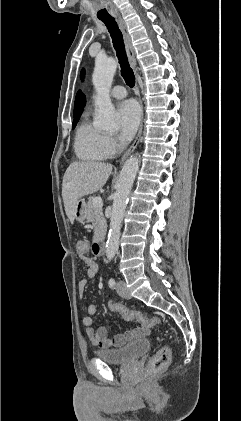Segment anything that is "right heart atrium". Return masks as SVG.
Wrapping results in <instances>:
<instances>
[{"label":"right heart atrium","instance_id":"1","mask_svg":"<svg viewBox=\"0 0 241 421\" xmlns=\"http://www.w3.org/2000/svg\"><path fill=\"white\" fill-rule=\"evenodd\" d=\"M104 143L110 155L114 154L119 148V142L113 135L106 134L104 136Z\"/></svg>","mask_w":241,"mask_h":421}]
</instances>
